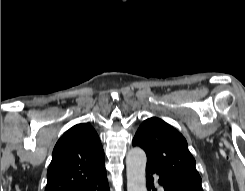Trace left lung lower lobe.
<instances>
[{
  "label": "left lung lower lobe",
  "instance_id": "obj_1",
  "mask_svg": "<svg viewBox=\"0 0 245 191\" xmlns=\"http://www.w3.org/2000/svg\"><path fill=\"white\" fill-rule=\"evenodd\" d=\"M157 174L155 171L146 169V178L148 181V190L156 191L153 186V175ZM159 176L158 183L164 188V191H190L185 187L179 186L176 183L168 180L167 178L157 174Z\"/></svg>",
  "mask_w": 245,
  "mask_h": 191
}]
</instances>
